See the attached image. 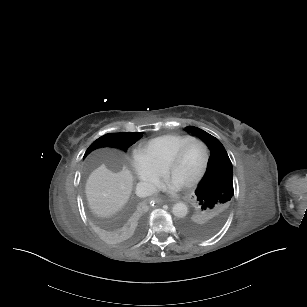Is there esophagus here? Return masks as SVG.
<instances>
[{
  "label": "esophagus",
  "mask_w": 307,
  "mask_h": 307,
  "mask_svg": "<svg viewBox=\"0 0 307 307\" xmlns=\"http://www.w3.org/2000/svg\"><path fill=\"white\" fill-rule=\"evenodd\" d=\"M155 202L157 205H162L164 203V201L161 198H156Z\"/></svg>",
  "instance_id": "34e87169"
}]
</instances>
